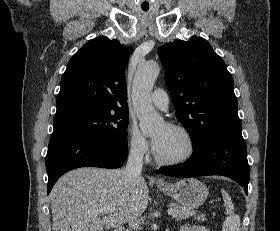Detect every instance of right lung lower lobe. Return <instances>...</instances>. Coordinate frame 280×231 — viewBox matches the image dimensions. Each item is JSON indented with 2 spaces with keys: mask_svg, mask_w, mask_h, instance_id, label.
<instances>
[{
  "mask_svg": "<svg viewBox=\"0 0 280 231\" xmlns=\"http://www.w3.org/2000/svg\"><path fill=\"white\" fill-rule=\"evenodd\" d=\"M127 142L101 141L80 134H52L46 156L47 194L66 172L79 167L118 168L127 157Z\"/></svg>",
  "mask_w": 280,
  "mask_h": 231,
  "instance_id": "right-lung-lower-lobe-1",
  "label": "right lung lower lobe"
}]
</instances>
